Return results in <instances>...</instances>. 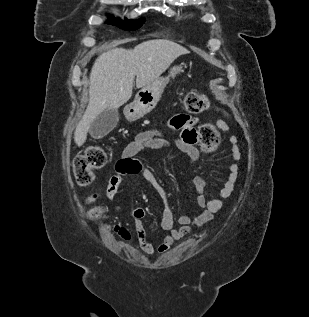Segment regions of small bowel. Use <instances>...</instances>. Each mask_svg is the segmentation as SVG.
<instances>
[{"instance_id":"small-bowel-1","label":"small bowel","mask_w":309,"mask_h":317,"mask_svg":"<svg viewBox=\"0 0 309 317\" xmlns=\"http://www.w3.org/2000/svg\"><path fill=\"white\" fill-rule=\"evenodd\" d=\"M197 119L191 118L186 114H178L169 121V128L179 132V136L173 140L166 139L159 130H148L138 134L134 140L128 143L123 149L120 159L116 163V172L108 179L106 187V197L113 202L118 188L124 176L129 174H142V176L151 183H155V177L152 171L144 167L137 155L144 150H167L171 149L185 154L191 163L199 158L197 144L200 142L199 134L195 129ZM217 126L228 131L229 126L223 120L217 121ZM230 150L233 162L227 165V177L219 190L218 197L207 200L205 196V181L200 175L194 177L196 187V213L191 219L187 215H181L177 218L179 227L174 226V214L172 208L168 206L161 218V228L168 232L162 242L155 248L143 226L145 210L143 208L134 209L132 215L134 227L137 233V239L142 251L147 255H153L155 252L164 254L168 252L174 243L180 241L191 232L192 226L201 227L213 219L223 206L224 200L232 195L239 178V161L241 151L239 149V140L236 136L229 139Z\"/></svg>"}]
</instances>
